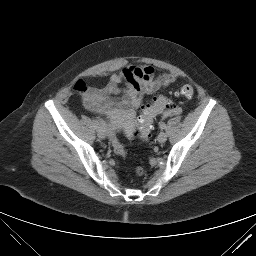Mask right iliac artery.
Listing matches in <instances>:
<instances>
[{"instance_id": "1", "label": "right iliac artery", "mask_w": 256, "mask_h": 256, "mask_svg": "<svg viewBox=\"0 0 256 256\" xmlns=\"http://www.w3.org/2000/svg\"><path fill=\"white\" fill-rule=\"evenodd\" d=\"M93 127L95 128V129H100L101 127H100V123L98 122V120H96V119H93Z\"/></svg>"}]
</instances>
